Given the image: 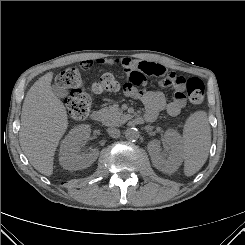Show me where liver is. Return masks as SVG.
Instances as JSON below:
<instances>
[{
	"label": "liver",
	"instance_id": "liver-1",
	"mask_svg": "<svg viewBox=\"0 0 245 245\" xmlns=\"http://www.w3.org/2000/svg\"><path fill=\"white\" fill-rule=\"evenodd\" d=\"M53 72L39 78L27 92L21 114L19 141L31 165L51 176L59 141L68 127L67 111L54 94Z\"/></svg>",
	"mask_w": 245,
	"mask_h": 245
}]
</instances>
